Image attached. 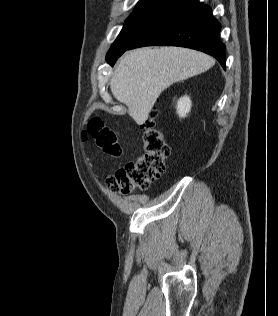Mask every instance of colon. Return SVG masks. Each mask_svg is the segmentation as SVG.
Returning <instances> with one entry per match:
<instances>
[{"label": "colon", "mask_w": 278, "mask_h": 316, "mask_svg": "<svg viewBox=\"0 0 278 316\" xmlns=\"http://www.w3.org/2000/svg\"><path fill=\"white\" fill-rule=\"evenodd\" d=\"M155 118L156 112H152L141 126L143 154L107 178V185L112 191L127 194L135 190H145L165 171V160L170 149L155 126ZM87 133L107 155L113 158L121 155L122 149L116 132L108 128L100 118L90 120Z\"/></svg>", "instance_id": "1"}]
</instances>
